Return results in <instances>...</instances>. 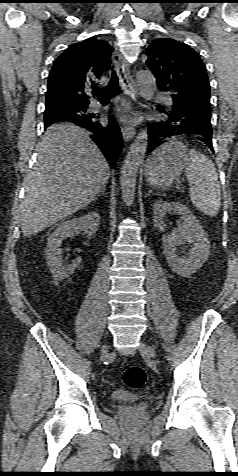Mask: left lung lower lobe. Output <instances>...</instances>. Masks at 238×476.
I'll return each mask as SVG.
<instances>
[{
    "instance_id": "0a47b994",
    "label": "left lung lower lobe",
    "mask_w": 238,
    "mask_h": 476,
    "mask_svg": "<svg viewBox=\"0 0 238 476\" xmlns=\"http://www.w3.org/2000/svg\"><path fill=\"white\" fill-rule=\"evenodd\" d=\"M162 119L148 129V152L157 149L171 137L195 135L214 153L212 146L211 114L198 110L164 109L157 106Z\"/></svg>"
}]
</instances>
